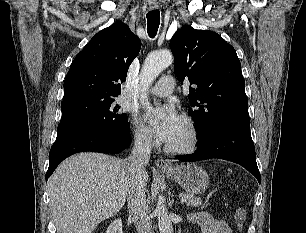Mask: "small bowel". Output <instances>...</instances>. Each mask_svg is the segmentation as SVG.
<instances>
[{
    "mask_svg": "<svg viewBox=\"0 0 306 233\" xmlns=\"http://www.w3.org/2000/svg\"><path fill=\"white\" fill-rule=\"evenodd\" d=\"M189 221L197 224L202 233H232L225 221L215 219L206 212H197L189 215Z\"/></svg>",
    "mask_w": 306,
    "mask_h": 233,
    "instance_id": "c3829d8e",
    "label": "small bowel"
}]
</instances>
